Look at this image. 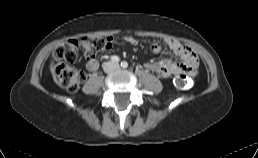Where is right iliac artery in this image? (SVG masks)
I'll list each match as a JSON object with an SVG mask.
<instances>
[{"label": "right iliac artery", "mask_w": 258, "mask_h": 158, "mask_svg": "<svg viewBox=\"0 0 258 158\" xmlns=\"http://www.w3.org/2000/svg\"><path fill=\"white\" fill-rule=\"evenodd\" d=\"M111 61L112 62H115V63H118L120 61L119 57L118 56H112L111 57Z\"/></svg>", "instance_id": "obj_1"}]
</instances>
